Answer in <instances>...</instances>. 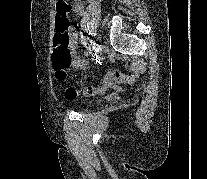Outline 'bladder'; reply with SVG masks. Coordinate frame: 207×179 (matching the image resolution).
Segmentation results:
<instances>
[{
    "label": "bladder",
    "mask_w": 207,
    "mask_h": 179,
    "mask_svg": "<svg viewBox=\"0 0 207 179\" xmlns=\"http://www.w3.org/2000/svg\"><path fill=\"white\" fill-rule=\"evenodd\" d=\"M93 103L92 102H87L85 104L86 109H90L92 107Z\"/></svg>",
    "instance_id": "1"
}]
</instances>
